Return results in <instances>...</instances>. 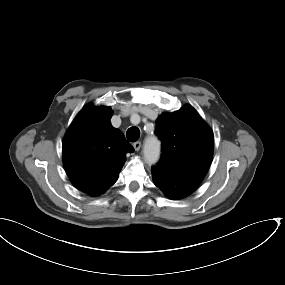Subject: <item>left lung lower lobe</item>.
<instances>
[{"instance_id":"left-lung-lower-lobe-1","label":"left lung lower lobe","mask_w":285,"mask_h":285,"mask_svg":"<svg viewBox=\"0 0 285 285\" xmlns=\"http://www.w3.org/2000/svg\"><path fill=\"white\" fill-rule=\"evenodd\" d=\"M152 178L154 184L171 199L184 198L198 187L195 183L175 179L156 169H152Z\"/></svg>"}]
</instances>
